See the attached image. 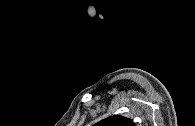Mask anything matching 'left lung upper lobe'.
<instances>
[{
    "instance_id": "1",
    "label": "left lung upper lobe",
    "mask_w": 195,
    "mask_h": 126,
    "mask_svg": "<svg viewBox=\"0 0 195 126\" xmlns=\"http://www.w3.org/2000/svg\"><path fill=\"white\" fill-rule=\"evenodd\" d=\"M95 126H134L131 119L122 116H113L101 120Z\"/></svg>"
}]
</instances>
